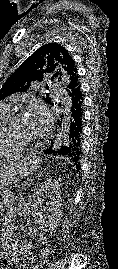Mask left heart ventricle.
<instances>
[{
  "mask_svg": "<svg viewBox=\"0 0 118 269\" xmlns=\"http://www.w3.org/2000/svg\"><path fill=\"white\" fill-rule=\"evenodd\" d=\"M14 133L19 138L34 142L39 136L28 114L22 116L14 126Z\"/></svg>",
  "mask_w": 118,
  "mask_h": 269,
  "instance_id": "b2bd125f",
  "label": "left heart ventricle"
}]
</instances>
